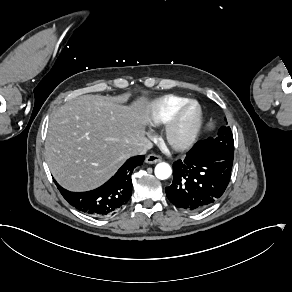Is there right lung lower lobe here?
<instances>
[{
	"label": "right lung lower lobe",
	"mask_w": 292,
	"mask_h": 292,
	"mask_svg": "<svg viewBox=\"0 0 292 292\" xmlns=\"http://www.w3.org/2000/svg\"><path fill=\"white\" fill-rule=\"evenodd\" d=\"M143 161V155L128 159L111 179L91 191L71 192L56 181L55 184L67 202L77 210L94 217L106 216L115 213L129 201L132 195L131 174Z\"/></svg>",
	"instance_id": "obj_1"
}]
</instances>
